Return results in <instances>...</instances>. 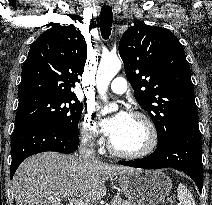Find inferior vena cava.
<instances>
[{"mask_svg": "<svg viewBox=\"0 0 212 205\" xmlns=\"http://www.w3.org/2000/svg\"><path fill=\"white\" fill-rule=\"evenodd\" d=\"M94 140L90 136H83L79 145V156L85 162H96V154L94 150Z\"/></svg>", "mask_w": 212, "mask_h": 205, "instance_id": "obj_1", "label": "inferior vena cava"}]
</instances>
